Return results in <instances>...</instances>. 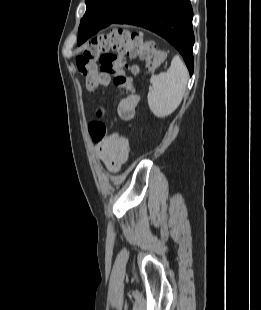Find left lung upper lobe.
Instances as JSON below:
<instances>
[{
  "mask_svg": "<svg viewBox=\"0 0 261 310\" xmlns=\"http://www.w3.org/2000/svg\"><path fill=\"white\" fill-rule=\"evenodd\" d=\"M126 0H85L86 12L81 19L79 31L89 20L109 21L121 11Z\"/></svg>",
  "mask_w": 261,
  "mask_h": 310,
  "instance_id": "1",
  "label": "left lung upper lobe"
}]
</instances>
